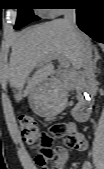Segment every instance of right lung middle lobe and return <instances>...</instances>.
Wrapping results in <instances>:
<instances>
[{
	"instance_id": "dd1d6c3e",
	"label": "right lung middle lobe",
	"mask_w": 104,
	"mask_h": 169,
	"mask_svg": "<svg viewBox=\"0 0 104 169\" xmlns=\"http://www.w3.org/2000/svg\"><path fill=\"white\" fill-rule=\"evenodd\" d=\"M17 1L19 2V8L15 29H19L32 21L39 20V17L33 13L31 0Z\"/></svg>"
}]
</instances>
